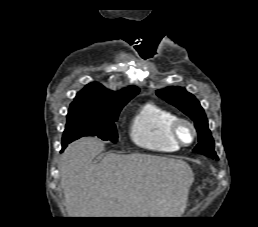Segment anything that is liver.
I'll return each mask as SVG.
<instances>
[{
  "label": "liver",
  "mask_w": 258,
  "mask_h": 227,
  "mask_svg": "<svg viewBox=\"0 0 258 227\" xmlns=\"http://www.w3.org/2000/svg\"><path fill=\"white\" fill-rule=\"evenodd\" d=\"M92 137L71 143L60 164V185L70 217H180L194 173L172 158L107 154Z\"/></svg>",
  "instance_id": "obj_1"
}]
</instances>
